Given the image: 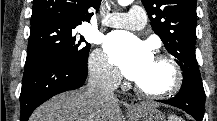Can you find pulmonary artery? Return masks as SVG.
Segmentation results:
<instances>
[{
    "instance_id": "obj_1",
    "label": "pulmonary artery",
    "mask_w": 217,
    "mask_h": 121,
    "mask_svg": "<svg viewBox=\"0 0 217 121\" xmlns=\"http://www.w3.org/2000/svg\"><path fill=\"white\" fill-rule=\"evenodd\" d=\"M102 23L116 28L141 29L146 25V14L141 6L135 5L127 13H108Z\"/></svg>"
}]
</instances>
